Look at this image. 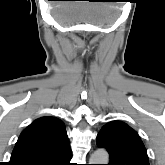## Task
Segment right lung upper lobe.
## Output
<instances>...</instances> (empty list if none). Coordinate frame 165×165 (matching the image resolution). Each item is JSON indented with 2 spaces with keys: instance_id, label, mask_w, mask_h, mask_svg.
<instances>
[{
  "instance_id": "cb5924a9",
  "label": "right lung upper lobe",
  "mask_w": 165,
  "mask_h": 165,
  "mask_svg": "<svg viewBox=\"0 0 165 165\" xmlns=\"http://www.w3.org/2000/svg\"><path fill=\"white\" fill-rule=\"evenodd\" d=\"M69 142L64 123L55 117H41L22 131L9 165H39Z\"/></svg>"
}]
</instances>
